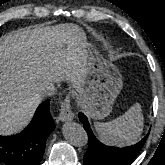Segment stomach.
<instances>
[{"label": "stomach", "mask_w": 165, "mask_h": 165, "mask_svg": "<svg viewBox=\"0 0 165 165\" xmlns=\"http://www.w3.org/2000/svg\"><path fill=\"white\" fill-rule=\"evenodd\" d=\"M88 72L78 90L80 105L93 119H103L111 111L123 81L119 70L84 40Z\"/></svg>", "instance_id": "0dacf381"}]
</instances>
